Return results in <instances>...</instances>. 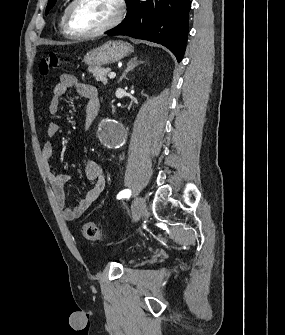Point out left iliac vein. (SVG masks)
I'll return each instance as SVG.
<instances>
[{
  "label": "left iliac vein",
  "instance_id": "1",
  "mask_svg": "<svg viewBox=\"0 0 285 335\" xmlns=\"http://www.w3.org/2000/svg\"><path fill=\"white\" fill-rule=\"evenodd\" d=\"M147 216L146 202L142 197H137L132 206V217L135 221Z\"/></svg>",
  "mask_w": 285,
  "mask_h": 335
}]
</instances>
